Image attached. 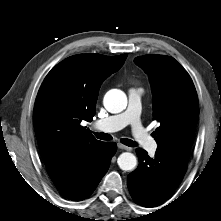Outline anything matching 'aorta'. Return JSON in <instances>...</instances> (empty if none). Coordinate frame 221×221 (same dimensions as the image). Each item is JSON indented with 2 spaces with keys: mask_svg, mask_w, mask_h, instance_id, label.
<instances>
[{
  "mask_svg": "<svg viewBox=\"0 0 221 221\" xmlns=\"http://www.w3.org/2000/svg\"><path fill=\"white\" fill-rule=\"evenodd\" d=\"M104 107L110 113H120L127 106L126 94L118 89L109 90L103 99ZM118 166L124 171H131L137 165V159L134 154L129 152L122 153L117 159Z\"/></svg>",
  "mask_w": 221,
  "mask_h": 221,
  "instance_id": "aorta-1",
  "label": "aorta"
}]
</instances>
